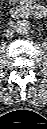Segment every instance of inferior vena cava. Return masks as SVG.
<instances>
[{
    "label": "inferior vena cava",
    "mask_w": 47,
    "mask_h": 129,
    "mask_svg": "<svg viewBox=\"0 0 47 129\" xmlns=\"http://www.w3.org/2000/svg\"><path fill=\"white\" fill-rule=\"evenodd\" d=\"M13 28H8L7 30H6V36H11L12 34H13Z\"/></svg>",
    "instance_id": "obj_1"
}]
</instances>
